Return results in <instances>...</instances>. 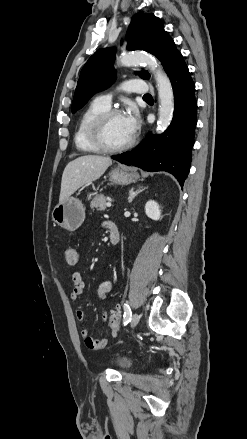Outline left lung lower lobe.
Returning <instances> with one entry per match:
<instances>
[{"label": "left lung lower lobe", "mask_w": 247, "mask_h": 439, "mask_svg": "<svg viewBox=\"0 0 247 439\" xmlns=\"http://www.w3.org/2000/svg\"><path fill=\"white\" fill-rule=\"evenodd\" d=\"M174 92V116L168 129L161 135L149 133L133 151L112 156L126 165L145 171H166L183 186L189 173L194 129L197 124L195 84L182 59L169 75Z\"/></svg>", "instance_id": "0a47b994"}]
</instances>
